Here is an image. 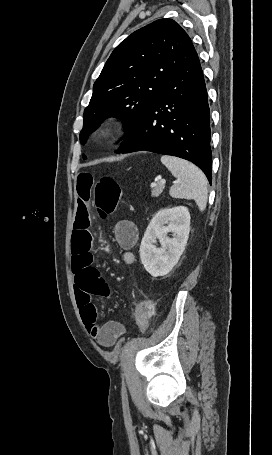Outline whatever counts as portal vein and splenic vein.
<instances>
[{
	"label": "portal vein and splenic vein",
	"mask_w": 272,
	"mask_h": 455,
	"mask_svg": "<svg viewBox=\"0 0 272 455\" xmlns=\"http://www.w3.org/2000/svg\"><path fill=\"white\" fill-rule=\"evenodd\" d=\"M165 183H166V181H165L164 179H162V180L160 181V184H161L162 186H164Z\"/></svg>",
	"instance_id": "18ae733b"
}]
</instances>
